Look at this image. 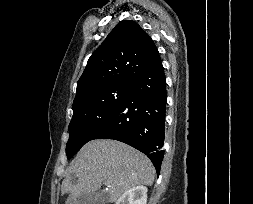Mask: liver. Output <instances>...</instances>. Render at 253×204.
Returning <instances> with one entry per match:
<instances>
[{"mask_svg":"<svg viewBox=\"0 0 253 204\" xmlns=\"http://www.w3.org/2000/svg\"><path fill=\"white\" fill-rule=\"evenodd\" d=\"M155 169L144 154L115 140L100 139L85 144L71 162L62 182L65 204H78V198L96 192L102 183L107 202H115L138 185L151 186Z\"/></svg>","mask_w":253,"mask_h":204,"instance_id":"liver-1","label":"liver"}]
</instances>
